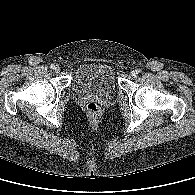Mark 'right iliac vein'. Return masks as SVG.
I'll return each instance as SVG.
<instances>
[{
    "label": "right iliac vein",
    "instance_id": "1",
    "mask_svg": "<svg viewBox=\"0 0 195 195\" xmlns=\"http://www.w3.org/2000/svg\"><path fill=\"white\" fill-rule=\"evenodd\" d=\"M55 72H56V73H59V72H60V67H59V66H56V67H55Z\"/></svg>",
    "mask_w": 195,
    "mask_h": 195
}]
</instances>
